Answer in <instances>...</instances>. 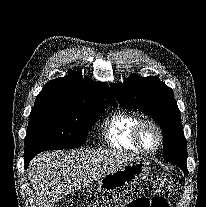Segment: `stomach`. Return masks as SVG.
<instances>
[{
	"mask_svg": "<svg viewBox=\"0 0 206 207\" xmlns=\"http://www.w3.org/2000/svg\"><path fill=\"white\" fill-rule=\"evenodd\" d=\"M151 171L150 162L137 158L104 175L98 183V191L108 194L124 186L146 178Z\"/></svg>",
	"mask_w": 206,
	"mask_h": 207,
	"instance_id": "stomach-1",
	"label": "stomach"
}]
</instances>
